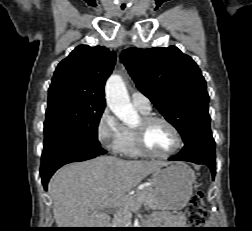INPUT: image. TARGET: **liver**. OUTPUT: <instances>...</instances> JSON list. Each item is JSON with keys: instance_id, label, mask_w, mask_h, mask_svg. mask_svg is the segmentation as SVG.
Listing matches in <instances>:
<instances>
[{"instance_id": "6515ba94", "label": "liver", "mask_w": 252, "mask_h": 231, "mask_svg": "<svg viewBox=\"0 0 252 231\" xmlns=\"http://www.w3.org/2000/svg\"><path fill=\"white\" fill-rule=\"evenodd\" d=\"M167 165L164 161L102 156L64 166L52 176L48 185L57 226H110V217L101 212L105 202L123 200L145 177Z\"/></svg>"}]
</instances>
